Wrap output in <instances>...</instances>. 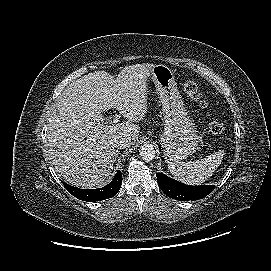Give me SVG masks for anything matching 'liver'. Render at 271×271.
Returning a JSON list of instances; mask_svg holds the SVG:
<instances>
[{
  "label": "liver",
  "mask_w": 271,
  "mask_h": 271,
  "mask_svg": "<svg viewBox=\"0 0 271 271\" xmlns=\"http://www.w3.org/2000/svg\"><path fill=\"white\" fill-rule=\"evenodd\" d=\"M154 64L124 67L114 79L105 71L84 75L67 86L52 106L47 139L55 171L70 184L101 187L118 156L115 139L138 140L137 124L147 113V80ZM115 108L128 121L103 123L102 110Z\"/></svg>",
  "instance_id": "liver-1"
}]
</instances>
